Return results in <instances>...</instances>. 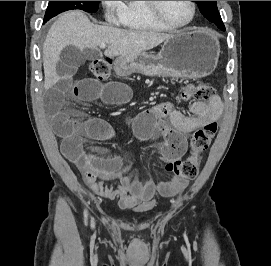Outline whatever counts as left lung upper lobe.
Masks as SVG:
<instances>
[{"mask_svg":"<svg viewBox=\"0 0 271 266\" xmlns=\"http://www.w3.org/2000/svg\"><path fill=\"white\" fill-rule=\"evenodd\" d=\"M195 2L199 7L200 12L206 19L217 25L219 29L225 28L220 13L217 9L216 1H195Z\"/></svg>","mask_w":271,"mask_h":266,"instance_id":"5c2ea615","label":"left lung upper lobe"}]
</instances>
